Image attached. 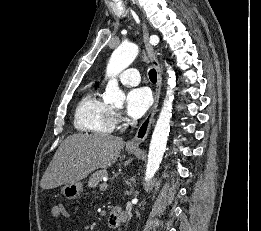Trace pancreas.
<instances>
[{"label": "pancreas", "instance_id": "cf45deb5", "mask_svg": "<svg viewBox=\"0 0 261 231\" xmlns=\"http://www.w3.org/2000/svg\"><path fill=\"white\" fill-rule=\"evenodd\" d=\"M107 175H108V172H107L105 169H103V170H98V171L94 172V173L90 176V178H89V180H88V187H89V188H94V187H96V186L99 184V182L102 181V178L105 177V176H107Z\"/></svg>", "mask_w": 261, "mask_h": 231}]
</instances>
